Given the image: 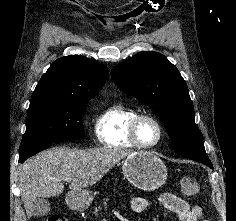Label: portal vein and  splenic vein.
<instances>
[{
    "label": "portal vein and splenic vein",
    "mask_w": 236,
    "mask_h": 221,
    "mask_svg": "<svg viewBox=\"0 0 236 221\" xmlns=\"http://www.w3.org/2000/svg\"><path fill=\"white\" fill-rule=\"evenodd\" d=\"M71 178H64V181H70Z\"/></svg>",
    "instance_id": "obj_1"
}]
</instances>
